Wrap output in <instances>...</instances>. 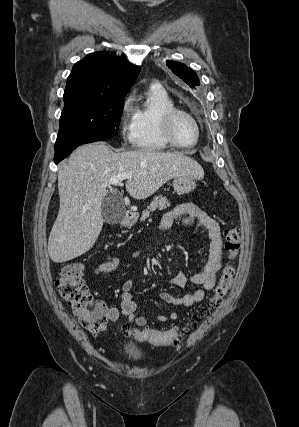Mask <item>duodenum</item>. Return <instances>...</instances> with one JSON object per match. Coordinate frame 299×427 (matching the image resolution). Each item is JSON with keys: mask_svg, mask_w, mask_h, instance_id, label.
Returning a JSON list of instances; mask_svg holds the SVG:
<instances>
[{"mask_svg": "<svg viewBox=\"0 0 299 427\" xmlns=\"http://www.w3.org/2000/svg\"><path fill=\"white\" fill-rule=\"evenodd\" d=\"M133 218V212L131 210H127L122 221L123 225H129Z\"/></svg>", "mask_w": 299, "mask_h": 427, "instance_id": "obj_1", "label": "duodenum"}]
</instances>
